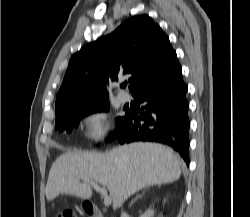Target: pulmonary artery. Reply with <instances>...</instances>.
<instances>
[{
  "label": "pulmonary artery",
  "instance_id": "pulmonary-artery-1",
  "mask_svg": "<svg viewBox=\"0 0 250 217\" xmlns=\"http://www.w3.org/2000/svg\"><path fill=\"white\" fill-rule=\"evenodd\" d=\"M117 98L122 103H126V102H128L130 100L129 94H127L125 92H118L117 93Z\"/></svg>",
  "mask_w": 250,
  "mask_h": 217
}]
</instances>
